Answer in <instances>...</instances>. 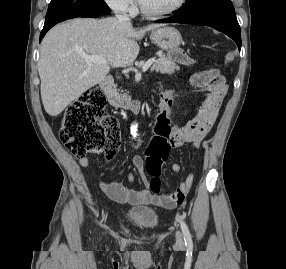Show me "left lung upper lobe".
I'll return each mask as SVG.
<instances>
[{"instance_id":"1","label":"left lung upper lobe","mask_w":286,"mask_h":269,"mask_svg":"<svg viewBox=\"0 0 286 269\" xmlns=\"http://www.w3.org/2000/svg\"><path fill=\"white\" fill-rule=\"evenodd\" d=\"M235 12L231 0H186V5L176 10L182 16L203 12Z\"/></svg>"}]
</instances>
